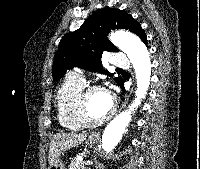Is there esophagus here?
Segmentation results:
<instances>
[{"label":"esophagus","instance_id":"34e87169","mask_svg":"<svg viewBox=\"0 0 200 169\" xmlns=\"http://www.w3.org/2000/svg\"><path fill=\"white\" fill-rule=\"evenodd\" d=\"M130 94H131V91L126 93L125 100H124V102L122 104L121 109H123L126 106V103H127L128 99H129ZM98 136H99V133H97V132L92 133V137H98Z\"/></svg>","mask_w":200,"mask_h":169}]
</instances>
